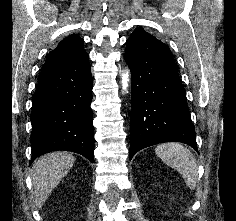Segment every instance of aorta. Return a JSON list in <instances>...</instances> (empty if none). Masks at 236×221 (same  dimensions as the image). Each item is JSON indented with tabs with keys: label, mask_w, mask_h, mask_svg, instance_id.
<instances>
[{
	"label": "aorta",
	"mask_w": 236,
	"mask_h": 221,
	"mask_svg": "<svg viewBox=\"0 0 236 221\" xmlns=\"http://www.w3.org/2000/svg\"><path fill=\"white\" fill-rule=\"evenodd\" d=\"M128 82H129V74H128V71H126L122 74V80H121L123 90L127 89Z\"/></svg>",
	"instance_id": "obj_1"
}]
</instances>
